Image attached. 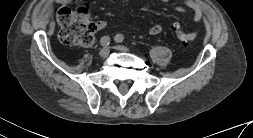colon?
<instances>
[{
	"mask_svg": "<svg viewBox=\"0 0 253 138\" xmlns=\"http://www.w3.org/2000/svg\"><path fill=\"white\" fill-rule=\"evenodd\" d=\"M87 14L83 7L59 9L57 14L60 25L59 37L64 44L88 46L93 43L96 27L94 22L88 19ZM173 30L178 40L184 45H188L196 37V33L184 32L180 26H174Z\"/></svg>",
	"mask_w": 253,
	"mask_h": 138,
	"instance_id": "5ec220e1",
	"label": "colon"
}]
</instances>
